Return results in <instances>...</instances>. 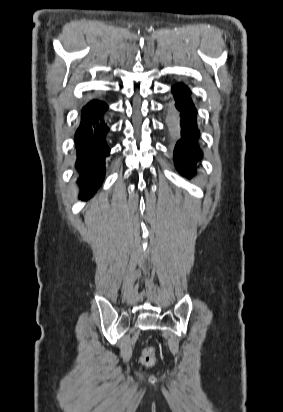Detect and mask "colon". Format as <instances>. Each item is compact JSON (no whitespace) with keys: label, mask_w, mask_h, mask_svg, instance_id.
I'll list each match as a JSON object with an SVG mask.
<instances>
[{"label":"colon","mask_w":283,"mask_h":412,"mask_svg":"<svg viewBox=\"0 0 283 412\" xmlns=\"http://www.w3.org/2000/svg\"><path fill=\"white\" fill-rule=\"evenodd\" d=\"M155 351L152 348H147L143 351L141 362L144 365H152L155 362Z\"/></svg>","instance_id":"1"}]
</instances>
